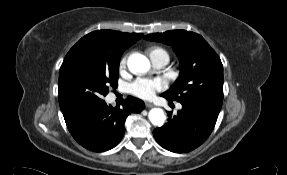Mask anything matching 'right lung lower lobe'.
I'll use <instances>...</instances> for the list:
<instances>
[{
  "instance_id": "right-lung-lower-lobe-1",
  "label": "right lung lower lobe",
  "mask_w": 287,
  "mask_h": 175,
  "mask_svg": "<svg viewBox=\"0 0 287 175\" xmlns=\"http://www.w3.org/2000/svg\"><path fill=\"white\" fill-rule=\"evenodd\" d=\"M144 102L129 96L122 107L108 106L103 99L95 104L73 106L62 111L74 139L84 148L104 152L115 147L124 135L125 118L144 109Z\"/></svg>"
}]
</instances>
